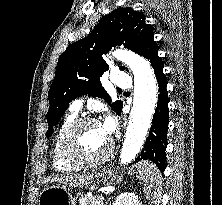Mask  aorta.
Wrapping results in <instances>:
<instances>
[{"instance_id":"aorta-1","label":"aorta","mask_w":222,"mask_h":205,"mask_svg":"<svg viewBox=\"0 0 222 205\" xmlns=\"http://www.w3.org/2000/svg\"><path fill=\"white\" fill-rule=\"evenodd\" d=\"M113 56L126 64L134 75L133 106L119 162L126 165L141 152L148 135L158 96V86L150 63L128 50H116Z\"/></svg>"}]
</instances>
